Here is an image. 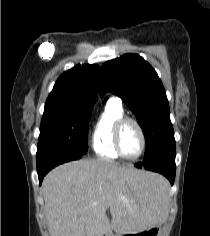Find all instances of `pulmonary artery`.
I'll list each match as a JSON object with an SVG mask.
<instances>
[{"label":"pulmonary artery","instance_id":"pulmonary-artery-1","mask_svg":"<svg viewBox=\"0 0 210 236\" xmlns=\"http://www.w3.org/2000/svg\"><path fill=\"white\" fill-rule=\"evenodd\" d=\"M115 101L121 103V100L119 98H113Z\"/></svg>","mask_w":210,"mask_h":236}]
</instances>
